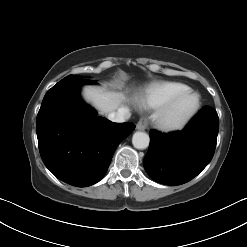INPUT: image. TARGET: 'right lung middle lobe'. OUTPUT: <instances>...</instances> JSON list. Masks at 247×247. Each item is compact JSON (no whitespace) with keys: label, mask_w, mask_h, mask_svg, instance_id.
I'll list each match as a JSON object with an SVG mask.
<instances>
[{"label":"right lung middle lobe","mask_w":247,"mask_h":247,"mask_svg":"<svg viewBox=\"0 0 247 247\" xmlns=\"http://www.w3.org/2000/svg\"><path fill=\"white\" fill-rule=\"evenodd\" d=\"M75 78H77V77L73 76V75H69V76L65 77L64 79H62V81L71 80V79H75Z\"/></svg>","instance_id":"dd1d6c3e"}]
</instances>
